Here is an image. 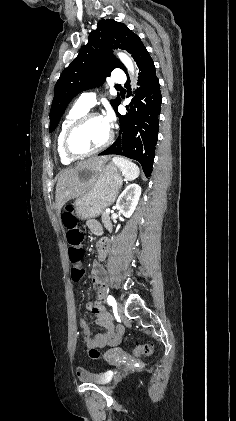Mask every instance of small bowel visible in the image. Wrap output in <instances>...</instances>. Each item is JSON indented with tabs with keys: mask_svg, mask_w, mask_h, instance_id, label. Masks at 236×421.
Returning <instances> with one entry per match:
<instances>
[{
	"mask_svg": "<svg viewBox=\"0 0 236 421\" xmlns=\"http://www.w3.org/2000/svg\"><path fill=\"white\" fill-rule=\"evenodd\" d=\"M88 227H89V229H90L93 233H95V234H100V233L102 232V227H101V225H100L97 221H95V220H89V221H88ZM102 316H103V317L107 320V322H108V328H107L108 341H106V342H104V343L100 344L101 346H105V345H107V344L110 342V337H111V336H113L115 333H117V334H122V333H123V330H121L120 328L115 329V328H114V326H113V324H112V322L108 320V318H107V316H106V313H105V312H102ZM82 325H85V322H84V321H82V322H81V326H82ZM78 374H79V373H78Z\"/></svg>",
	"mask_w": 236,
	"mask_h": 421,
	"instance_id": "small-bowel-1",
	"label": "small bowel"
}]
</instances>
